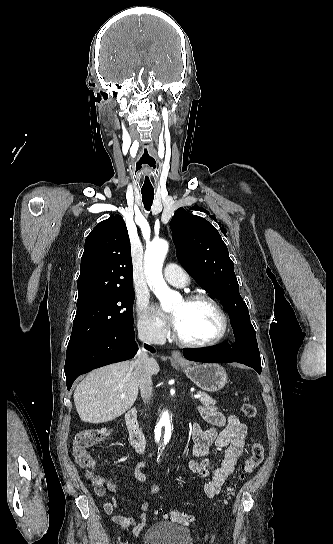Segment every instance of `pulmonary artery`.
Here are the masks:
<instances>
[{
    "label": "pulmonary artery",
    "mask_w": 333,
    "mask_h": 544,
    "mask_svg": "<svg viewBox=\"0 0 333 544\" xmlns=\"http://www.w3.org/2000/svg\"><path fill=\"white\" fill-rule=\"evenodd\" d=\"M164 277L169 284L175 287H185L189 282L186 271L173 263L166 265Z\"/></svg>",
    "instance_id": "1"
}]
</instances>
